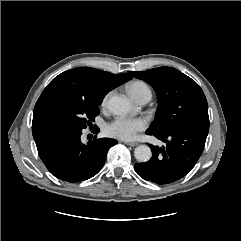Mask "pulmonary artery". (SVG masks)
<instances>
[{
	"label": "pulmonary artery",
	"mask_w": 241,
	"mask_h": 241,
	"mask_svg": "<svg viewBox=\"0 0 241 241\" xmlns=\"http://www.w3.org/2000/svg\"><path fill=\"white\" fill-rule=\"evenodd\" d=\"M151 99V96L149 95H143L139 98H137L135 101L140 104V105H144L146 104L147 102H149V100Z\"/></svg>",
	"instance_id": "1"
}]
</instances>
